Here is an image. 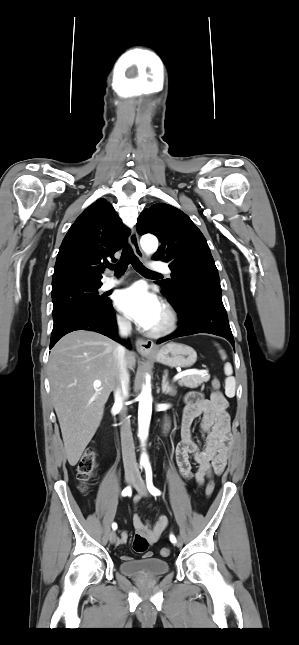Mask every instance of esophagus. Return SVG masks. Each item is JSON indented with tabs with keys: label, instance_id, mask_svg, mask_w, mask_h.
I'll return each mask as SVG.
<instances>
[{
	"label": "esophagus",
	"instance_id": "34e87169",
	"mask_svg": "<svg viewBox=\"0 0 299 645\" xmlns=\"http://www.w3.org/2000/svg\"><path fill=\"white\" fill-rule=\"evenodd\" d=\"M129 242L138 257H142L143 253L139 245V237L135 229L132 230V233L129 238ZM136 349L142 355H148L155 352V345L151 340H145L143 338H137L136 340Z\"/></svg>",
	"mask_w": 299,
	"mask_h": 645
}]
</instances>
